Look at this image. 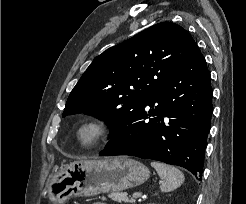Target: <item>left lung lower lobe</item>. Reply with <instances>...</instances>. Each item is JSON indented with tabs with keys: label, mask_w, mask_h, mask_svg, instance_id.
Listing matches in <instances>:
<instances>
[{
	"label": "left lung lower lobe",
	"mask_w": 246,
	"mask_h": 204,
	"mask_svg": "<svg viewBox=\"0 0 246 204\" xmlns=\"http://www.w3.org/2000/svg\"><path fill=\"white\" fill-rule=\"evenodd\" d=\"M210 80L205 58L196 47L190 58L143 102L99 155L158 160L181 166L200 179L211 127Z\"/></svg>",
	"instance_id": "0a47b994"
}]
</instances>
